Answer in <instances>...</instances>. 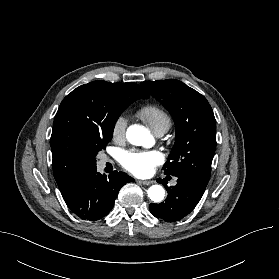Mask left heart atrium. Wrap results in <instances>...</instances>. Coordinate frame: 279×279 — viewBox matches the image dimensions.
Listing matches in <instances>:
<instances>
[{
    "label": "left heart atrium",
    "instance_id": "left-heart-atrium-1",
    "mask_svg": "<svg viewBox=\"0 0 279 279\" xmlns=\"http://www.w3.org/2000/svg\"><path fill=\"white\" fill-rule=\"evenodd\" d=\"M163 161L162 154L157 150L129 151L121 155L122 166L136 176H148Z\"/></svg>",
    "mask_w": 279,
    "mask_h": 279
}]
</instances>
